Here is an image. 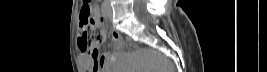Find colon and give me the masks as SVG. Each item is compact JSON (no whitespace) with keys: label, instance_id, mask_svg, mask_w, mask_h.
<instances>
[{"label":"colon","instance_id":"1","mask_svg":"<svg viewBox=\"0 0 267 72\" xmlns=\"http://www.w3.org/2000/svg\"><path fill=\"white\" fill-rule=\"evenodd\" d=\"M96 1L84 0L80 12V35L78 44L82 52L94 53L105 40V32L98 25V14L94 4ZM173 67L164 62L163 72H172Z\"/></svg>","mask_w":267,"mask_h":72}]
</instances>
